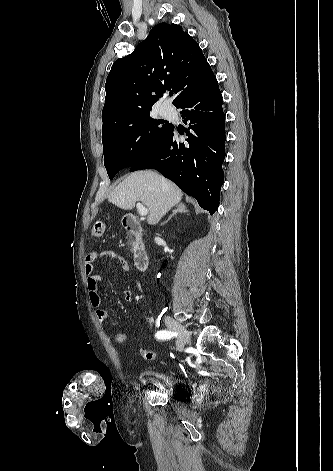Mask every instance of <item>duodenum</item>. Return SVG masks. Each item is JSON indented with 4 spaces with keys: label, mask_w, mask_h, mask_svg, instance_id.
Wrapping results in <instances>:
<instances>
[{
    "label": "duodenum",
    "mask_w": 333,
    "mask_h": 471,
    "mask_svg": "<svg viewBox=\"0 0 333 471\" xmlns=\"http://www.w3.org/2000/svg\"><path fill=\"white\" fill-rule=\"evenodd\" d=\"M124 227L133 235V262L137 270L145 271L149 265L148 253L143 241V228L139 220L127 214L123 220Z\"/></svg>",
    "instance_id": "duodenum-1"
}]
</instances>
